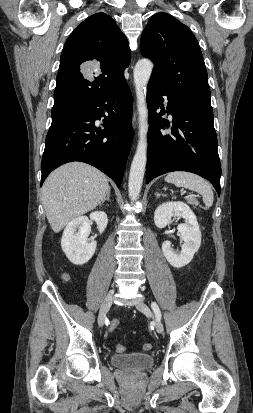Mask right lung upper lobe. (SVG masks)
<instances>
[{"instance_id": "obj_1", "label": "right lung upper lobe", "mask_w": 253, "mask_h": 413, "mask_svg": "<svg viewBox=\"0 0 253 413\" xmlns=\"http://www.w3.org/2000/svg\"><path fill=\"white\" fill-rule=\"evenodd\" d=\"M130 48L115 21L97 13L71 33L62 50L54 91L52 118L66 114L99 97L125 80ZM93 64L95 76L83 77V64Z\"/></svg>"}]
</instances>
